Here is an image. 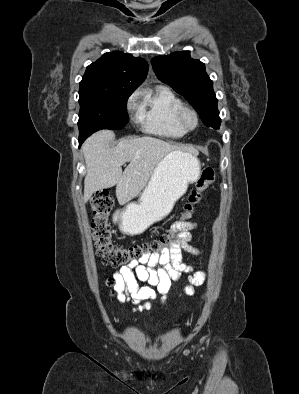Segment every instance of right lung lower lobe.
<instances>
[{"label":"right lung lower lobe","mask_w":299,"mask_h":394,"mask_svg":"<svg viewBox=\"0 0 299 394\" xmlns=\"http://www.w3.org/2000/svg\"><path fill=\"white\" fill-rule=\"evenodd\" d=\"M84 140H85V139H83V138L79 137V144L81 145V144H82V142H83Z\"/></svg>","instance_id":"obj_1"}]
</instances>
